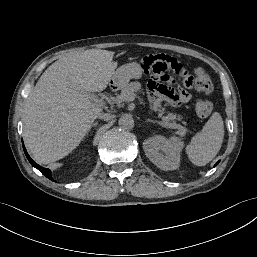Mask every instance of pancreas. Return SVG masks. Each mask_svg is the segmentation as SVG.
I'll use <instances>...</instances> for the list:
<instances>
[{"mask_svg":"<svg viewBox=\"0 0 257 257\" xmlns=\"http://www.w3.org/2000/svg\"><path fill=\"white\" fill-rule=\"evenodd\" d=\"M141 90V84L139 82H131L129 84H126L123 86L121 93L117 98L115 99V102L118 106L122 105V102L125 101V98L133 94L134 92H138ZM154 110L158 112V116L162 118L163 123L168 124L170 121L175 122L176 120H181V116L177 113H171L167 112L166 116H163L165 114V109L161 108L160 104H157L154 107Z\"/></svg>","mask_w":257,"mask_h":257,"instance_id":"1","label":"pancreas"}]
</instances>
